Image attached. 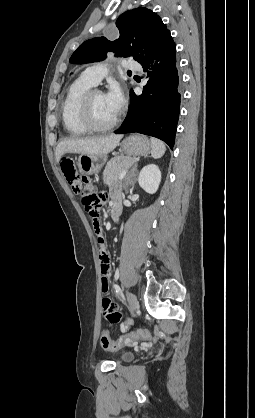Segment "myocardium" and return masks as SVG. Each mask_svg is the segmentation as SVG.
Listing matches in <instances>:
<instances>
[{
  "label": "myocardium",
  "instance_id": "obj_1",
  "mask_svg": "<svg viewBox=\"0 0 255 418\" xmlns=\"http://www.w3.org/2000/svg\"><path fill=\"white\" fill-rule=\"evenodd\" d=\"M103 93L102 90L99 88H91L88 90L85 95L83 96L80 104V110H79V117L82 124L92 132H106L111 129H113L119 122V116L116 115V117L108 124L106 125H99L95 122L93 117V111H92V100L93 97L98 94Z\"/></svg>",
  "mask_w": 255,
  "mask_h": 418
}]
</instances>
